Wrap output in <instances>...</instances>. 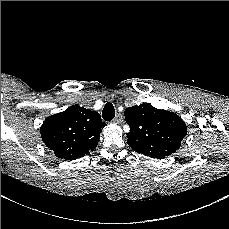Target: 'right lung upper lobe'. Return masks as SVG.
<instances>
[{"label": "right lung upper lobe", "mask_w": 229, "mask_h": 229, "mask_svg": "<svg viewBox=\"0 0 229 229\" xmlns=\"http://www.w3.org/2000/svg\"><path fill=\"white\" fill-rule=\"evenodd\" d=\"M106 124L98 112L73 105L49 116L41 126V138L56 157L73 160L93 151Z\"/></svg>", "instance_id": "1"}]
</instances>
